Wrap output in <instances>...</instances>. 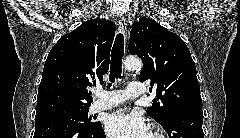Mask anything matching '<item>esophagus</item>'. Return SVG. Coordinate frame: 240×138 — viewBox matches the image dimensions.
Wrapping results in <instances>:
<instances>
[{"label": "esophagus", "mask_w": 240, "mask_h": 138, "mask_svg": "<svg viewBox=\"0 0 240 138\" xmlns=\"http://www.w3.org/2000/svg\"><path fill=\"white\" fill-rule=\"evenodd\" d=\"M119 30L121 31V33L124 35L125 39H126V35H127V19L124 15H120L119 17Z\"/></svg>", "instance_id": "34e87169"}]
</instances>
